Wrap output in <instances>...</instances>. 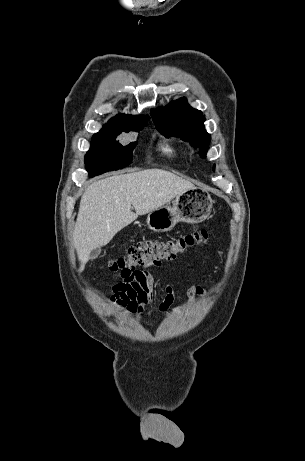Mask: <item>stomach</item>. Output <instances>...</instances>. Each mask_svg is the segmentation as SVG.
<instances>
[{
  "mask_svg": "<svg viewBox=\"0 0 305 461\" xmlns=\"http://www.w3.org/2000/svg\"><path fill=\"white\" fill-rule=\"evenodd\" d=\"M212 205L210 194L194 187L177 195L172 207L166 205L149 212L146 223L155 232H167L178 222L195 224L204 221L210 215Z\"/></svg>",
  "mask_w": 305,
  "mask_h": 461,
  "instance_id": "0dacf381",
  "label": "stomach"
}]
</instances>
